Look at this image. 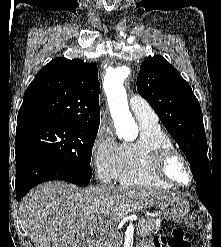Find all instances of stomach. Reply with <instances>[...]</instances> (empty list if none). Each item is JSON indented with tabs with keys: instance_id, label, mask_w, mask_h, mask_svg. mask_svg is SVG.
<instances>
[{
	"instance_id": "1",
	"label": "stomach",
	"mask_w": 221,
	"mask_h": 247,
	"mask_svg": "<svg viewBox=\"0 0 221 247\" xmlns=\"http://www.w3.org/2000/svg\"><path fill=\"white\" fill-rule=\"evenodd\" d=\"M159 216L165 220L178 222L190 210V205L184 198L174 196L158 204Z\"/></svg>"
}]
</instances>
